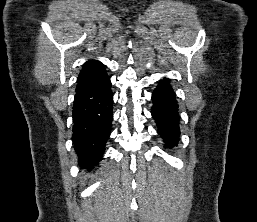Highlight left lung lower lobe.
<instances>
[{"label": "left lung lower lobe", "mask_w": 257, "mask_h": 222, "mask_svg": "<svg viewBox=\"0 0 257 222\" xmlns=\"http://www.w3.org/2000/svg\"><path fill=\"white\" fill-rule=\"evenodd\" d=\"M152 117L156 121L158 133L164 139L165 147L172 148L178 144L180 136L178 105L169 79L159 82L152 94Z\"/></svg>", "instance_id": "left-lung-lower-lobe-1"}]
</instances>
